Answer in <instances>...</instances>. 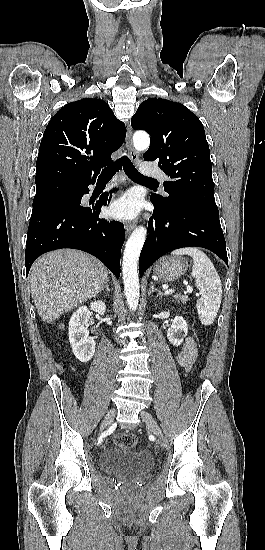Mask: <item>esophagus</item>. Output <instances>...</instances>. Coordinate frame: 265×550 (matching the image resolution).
I'll use <instances>...</instances> for the list:
<instances>
[{
    "instance_id": "1",
    "label": "esophagus",
    "mask_w": 265,
    "mask_h": 550,
    "mask_svg": "<svg viewBox=\"0 0 265 550\" xmlns=\"http://www.w3.org/2000/svg\"><path fill=\"white\" fill-rule=\"evenodd\" d=\"M126 147H127V150H128V155L130 157V159L132 161H136L138 159V155L136 153V151L134 150L133 148V144H132V130H131V127L130 125H128L127 127V133H126ZM135 225L134 224H126L125 225V231L126 233H130L133 229H134Z\"/></svg>"
}]
</instances>
